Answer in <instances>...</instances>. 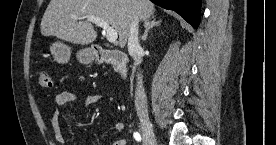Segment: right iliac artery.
I'll return each instance as SVG.
<instances>
[{
	"label": "right iliac artery",
	"mask_w": 276,
	"mask_h": 145,
	"mask_svg": "<svg viewBox=\"0 0 276 145\" xmlns=\"http://www.w3.org/2000/svg\"><path fill=\"white\" fill-rule=\"evenodd\" d=\"M133 136H134V138H135L136 141H138V142L141 141V136H140V134L138 132H134Z\"/></svg>",
	"instance_id": "right-iliac-artery-1"
}]
</instances>
